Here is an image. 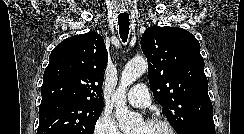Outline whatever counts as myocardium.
Listing matches in <instances>:
<instances>
[{"label":"myocardium","mask_w":244,"mask_h":134,"mask_svg":"<svg viewBox=\"0 0 244 134\" xmlns=\"http://www.w3.org/2000/svg\"><path fill=\"white\" fill-rule=\"evenodd\" d=\"M145 123L150 125H161L165 127L170 134H178L174 126L167 120L154 118V119L147 120Z\"/></svg>","instance_id":"1"}]
</instances>
